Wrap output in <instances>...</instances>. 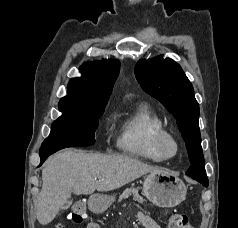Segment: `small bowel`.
<instances>
[{"label":"small bowel","mask_w":238,"mask_h":228,"mask_svg":"<svg viewBox=\"0 0 238 228\" xmlns=\"http://www.w3.org/2000/svg\"><path fill=\"white\" fill-rule=\"evenodd\" d=\"M138 219L144 228H161L155 220L147 214L139 213ZM86 228H101V226L97 222H90Z\"/></svg>","instance_id":"small-bowel-1"}]
</instances>
